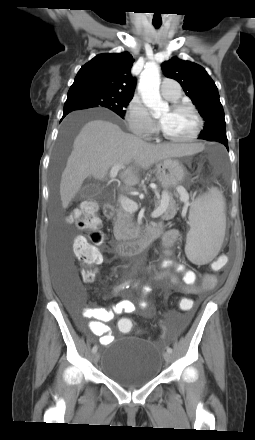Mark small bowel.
Here are the masks:
<instances>
[{
	"mask_svg": "<svg viewBox=\"0 0 255 440\" xmlns=\"http://www.w3.org/2000/svg\"><path fill=\"white\" fill-rule=\"evenodd\" d=\"M161 226V225H160ZM162 227V226H161ZM180 233L178 229H170L163 236L164 259L160 263L162 270L155 274L153 281L162 282L169 290L179 291L187 296L200 295L207 290L213 289L216 283L215 277H205L202 282H198L197 274L187 269L183 264L173 261L170 256L172 247L179 240ZM181 273L178 277L171 271ZM151 291L150 286L143 288L144 293ZM189 298V297H185ZM129 313H141L149 315V305L146 301L140 300L137 303L128 300H122L113 305L110 309L102 307H87L81 311V317L91 319L87 328L95 336L99 337L101 345H108L114 340L110 327L107 322L114 320L117 316ZM80 328H84L81 318L76 317Z\"/></svg>",
	"mask_w": 255,
	"mask_h": 440,
	"instance_id": "obj_1",
	"label": "small bowel"
}]
</instances>
